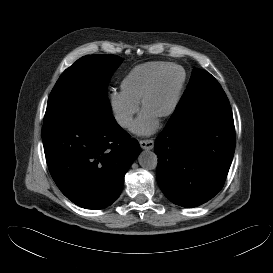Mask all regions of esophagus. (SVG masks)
<instances>
[{"label":"esophagus","mask_w":273,"mask_h":273,"mask_svg":"<svg viewBox=\"0 0 273 273\" xmlns=\"http://www.w3.org/2000/svg\"><path fill=\"white\" fill-rule=\"evenodd\" d=\"M140 146H141V148H143V149L149 150V149H152V148H153L154 142H153L152 140H141V141H140Z\"/></svg>","instance_id":"esophagus-1"}]
</instances>
